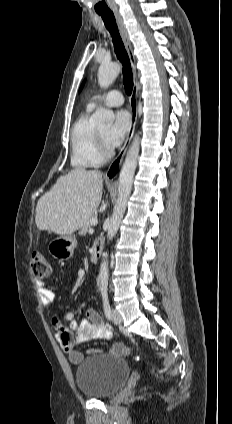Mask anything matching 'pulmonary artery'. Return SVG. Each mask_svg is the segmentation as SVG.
Listing matches in <instances>:
<instances>
[{
    "label": "pulmonary artery",
    "instance_id": "pulmonary-artery-1",
    "mask_svg": "<svg viewBox=\"0 0 232 424\" xmlns=\"http://www.w3.org/2000/svg\"><path fill=\"white\" fill-rule=\"evenodd\" d=\"M124 103V96L121 92L112 90L103 95H97L89 102L88 108L94 109L99 105H106L109 107H118Z\"/></svg>",
    "mask_w": 232,
    "mask_h": 424
}]
</instances>
